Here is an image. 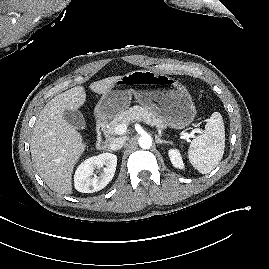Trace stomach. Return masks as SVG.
<instances>
[{
	"mask_svg": "<svg viewBox=\"0 0 269 269\" xmlns=\"http://www.w3.org/2000/svg\"><path fill=\"white\" fill-rule=\"evenodd\" d=\"M132 95L172 129H183L195 119L196 108L187 89L175 79L150 70L121 76L96 105V119L106 121L118 116L129 107Z\"/></svg>",
	"mask_w": 269,
	"mask_h": 269,
	"instance_id": "1",
	"label": "stomach"
}]
</instances>
